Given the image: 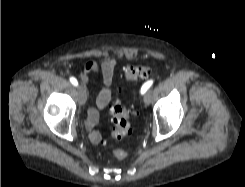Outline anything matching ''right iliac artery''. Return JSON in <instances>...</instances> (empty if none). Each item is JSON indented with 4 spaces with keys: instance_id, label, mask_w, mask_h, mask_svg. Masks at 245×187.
<instances>
[{
    "instance_id": "1",
    "label": "right iliac artery",
    "mask_w": 245,
    "mask_h": 187,
    "mask_svg": "<svg viewBox=\"0 0 245 187\" xmlns=\"http://www.w3.org/2000/svg\"><path fill=\"white\" fill-rule=\"evenodd\" d=\"M70 82H71L74 86H77V85H78V81H77L76 78H74V77H70Z\"/></svg>"
}]
</instances>
